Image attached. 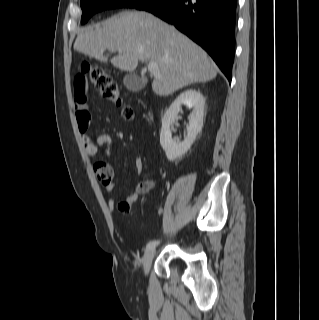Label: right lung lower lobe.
Returning <instances> with one entry per match:
<instances>
[{
	"label": "right lung lower lobe",
	"mask_w": 319,
	"mask_h": 320,
	"mask_svg": "<svg viewBox=\"0 0 319 320\" xmlns=\"http://www.w3.org/2000/svg\"><path fill=\"white\" fill-rule=\"evenodd\" d=\"M236 7L237 0H152L136 9L153 13L198 43L230 82Z\"/></svg>",
	"instance_id": "right-lung-lower-lobe-1"
}]
</instances>
